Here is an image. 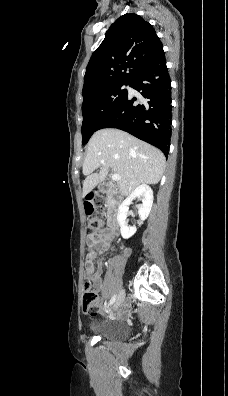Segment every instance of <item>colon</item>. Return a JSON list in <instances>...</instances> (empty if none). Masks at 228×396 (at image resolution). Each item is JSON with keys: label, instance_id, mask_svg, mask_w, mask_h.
Instances as JSON below:
<instances>
[{"label": "colon", "instance_id": "obj_1", "mask_svg": "<svg viewBox=\"0 0 228 396\" xmlns=\"http://www.w3.org/2000/svg\"><path fill=\"white\" fill-rule=\"evenodd\" d=\"M103 203L104 197L93 193L88 195L87 200L84 203V209L88 217V239L94 240L95 234L104 229V220L94 214L95 209L101 207ZM103 310L104 307L98 303L97 295L92 290V283L86 282L83 295V311L89 315H99Z\"/></svg>", "mask_w": 228, "mask_h": 396}]
</instances>
